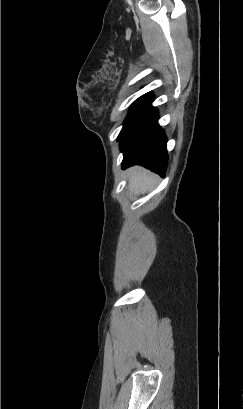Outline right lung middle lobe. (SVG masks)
<instances>
[{"mask_svg":"<svg viewBox=\"0 0 243 409\" xmlns=\"http://www.w3.org/2000/svg\"><path fill=\"white\" fill-rule=\"evenodd\" d=\"M151 96V93H147L140 98H138L131 106V109L129 111V114L127 115L124 126L125 124L129 121V119L132 117V115L143 105V103Z\"/></svg>","mask_w":243,"mask_h":409,"instance_id":"dd1d6c3e","label":"right lung middle lobe"}]
</instances>
